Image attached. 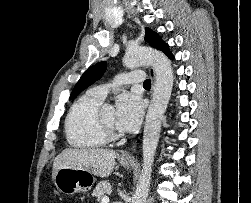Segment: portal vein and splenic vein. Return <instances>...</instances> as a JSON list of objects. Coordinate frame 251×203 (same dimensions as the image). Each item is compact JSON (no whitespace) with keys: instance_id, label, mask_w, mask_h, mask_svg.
Here are the masks:
<instances>
[{"instance_id":"obj_1","label":"portal vein and splenic vein","mask_w":251,"mask_h":203,"mask_svg":"<svg viewBox=\"0 0 251 203\" xmlns=\"http://www.w3.org/2000/svg\"><path fill=\"white\" fill-rule=\"evenodd\" d=\"M101 203H109V198L108 197H103L101 200Z\"/></svg>"}]
</instances>
